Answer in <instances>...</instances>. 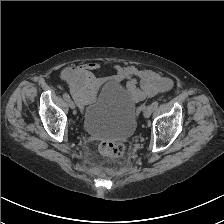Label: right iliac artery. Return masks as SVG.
<instances>
[{"label":"right iliac artery","instance_id":"right-iliac-artery-1","mask_svg":"<svg viewBox=\"0 0 224 224\" xmlns=\"http://www.w3.org/2000/svg\"><path fill=\"white\" fill-rule=\"evenodd\" d=\"M63 98H64L65 100H69V99H70V96H69L67 93H64V94H63Z\"/></svg>","mask_w":224,"mask_h":224}]
</instances>
